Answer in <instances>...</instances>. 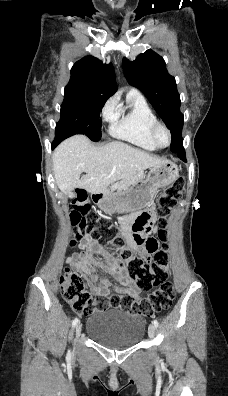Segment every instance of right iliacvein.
<instances>
[{
	"mask_svg": "<svg viewBox=\"0 0 228 396\" xmlns=\"http://www.w3.org/2000/svg\"><path fill=\"white\" fill-rule=\"evenodd\" d=\"M81 330H82V325L79 323V324L76 325V330H75V332H76V337H79V336H80Z\"/></svg>",
	"mask_w": 228,
	"mask_h": 396,
	"instance_id": "obj_1",
	"label": "right iliac vein"
}]
</instances>
